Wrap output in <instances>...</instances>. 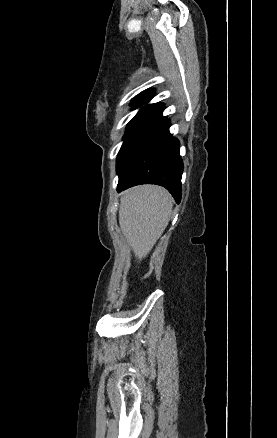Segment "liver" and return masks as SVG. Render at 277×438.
I'll return each instance as SVG.
<instances>
[{"instance_id":"obj_1","label":"liver","mask_w":277,"mask_h":438,"mask_svg":"<svg viewBox=\"0 0 277 438\" xmlns=\"http://www.w3.org/2000/svg\"><path fill=\"white\" fill-rule=\"evenodd\" d=\"M172 208L169 192L160 186H136L121 194L120 228L139 262L161 238Z\"/></svg>"}]
</instances>
